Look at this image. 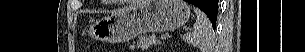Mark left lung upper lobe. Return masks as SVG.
<instances>
[{"label":"left lung upper lobe","mask_w":305,"mask_h":52,"mask_svg":"<svg viewBox=\"0 0 305 52\" xmlns=\"http://www.w3.org/2000/svg\"><path fill=\"white\" fill-rule=\"evenodd\" d=\"M217 12H218V9H213V8L205 10V13L209 17L212 24H215L217 21Z\"/></svg>","instance_id":"1"}]
</instances>
